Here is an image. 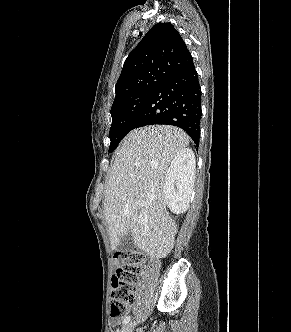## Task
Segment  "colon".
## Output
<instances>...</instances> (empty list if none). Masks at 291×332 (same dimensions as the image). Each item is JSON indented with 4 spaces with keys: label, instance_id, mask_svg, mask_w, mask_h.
I'll return each mask as SVG.
<instances>
[{
    "label": "colon",
    "instance_id": "obj_1",
    "mask_svg": "<svg viewBox=\"0 0 291 332\" xmlns=\"http://www.w3.org/2000/svg\"><path fill=\"white\" fill-rule=\"evenodd\" d=\"M122 265L112 277L110 315L118 320L134 303L144 257L134 250H123L116 254Z\"/></svg>",
    "mask_w": 291,
    "mask_h": 332
}]
</instances>
